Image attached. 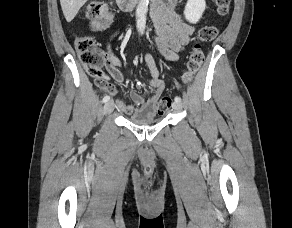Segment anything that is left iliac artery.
I'll return each instance as SVG.
<instances>
[{
  "label": "left iliac artery",
  "instance_id": "left-iliac-artery-1",
  "mask_svg": "<svg viewBox=\"0 0 292 228\" xmlns=\"http://www.w3.org/2000/svg\"><path fill=\"white\" fill-rule=\"evenodd\" d=\"M174 100H175L176 102H181V98H180L179 96H176V97L174 98Z\"/></svg>",
  "mask_w": 292,
  "mask_h": 228
}]
</instances>
